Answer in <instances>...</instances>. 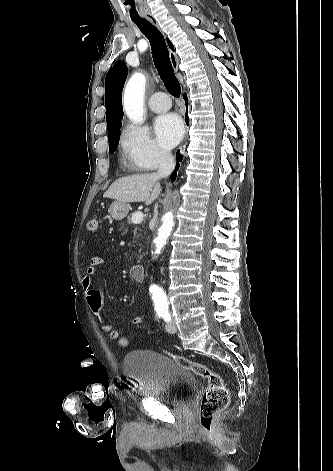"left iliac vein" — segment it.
I'll list each match as a JSON object with an SVG mask.
<instances>
[{"instance_id":"obj_1","label":"left iliac vein","mask_w":333,"mask_h":471,"mask_svg":"<svg viewBox=\"0 0 333 471\" xmlns=\"http://www.w3.org/2000/svg\"><path fill=\"white\" fill-rule=\"evenodd\" d=\"M165 329L168 333H175L177 331V327H176V324L172 321H169L166 326H165Z\"/></svg>"}]
</instances>
